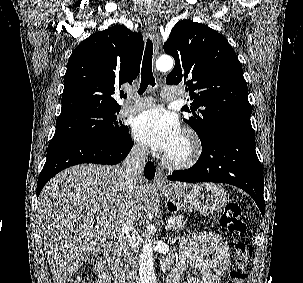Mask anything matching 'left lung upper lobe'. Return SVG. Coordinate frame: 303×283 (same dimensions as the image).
<instances>
[{
    "label": "left lung upper lobe",
    "instance_id": "1",
    "mask_svg": "<svg viewBox=\"0 0 303 283\" xmlns=\"http://www.w3.org/2000/svg\"><path fill=\"white\" fill-rule=\"evenodd\" d=\"M164 50L175 59L166 83L186 84L193 102L182 107L191 114L184 121L201 143L222 128H252L247 83L226 38L207 25L181 20L172 28Z\"/></svg>",
    "mask_w": 303,
    "mask_h": 283
}]
</instances>
